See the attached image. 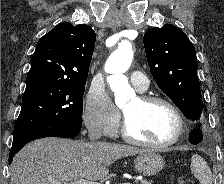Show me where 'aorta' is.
Returning <instances> with one entry per match:
<instances>
[{"mask_svg": "<svg viewBox=\"0 0 224 184\" xmlns=\"http://www.w3.org/2000/svg\"><path fill=\"white\" fill-rule=\"evenodd\" d=\"M133 59L132 44L121 41L117 50L108 58L105 64V71L109 73L107 80L111 90L115 94V103L121 106L130 98L135 96L134 90L128 84V79L124 73L129 69Z\"/></svg>", "mask_w": 224, "mask_h": 184, "instance_id": "762f6f07", "label": "aorta"}]
</instances>
